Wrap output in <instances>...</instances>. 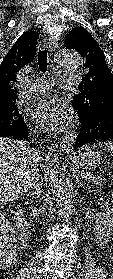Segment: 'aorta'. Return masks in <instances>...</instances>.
<instances>
[{
  "label": "aorta",
  "instance_id": "obj_1",
  "mask_svg": "<svg viewBox=\"0 0 113 279\" xmlns=\"http://www.w3.org/2000/svg\"><path fill=\"white\" fill-rule=\"evenodd\" d=\"M60 63L70 69H77L81 65V57L78 52L72 49L62 48L57 51ZM67 139L60 140V146L64 147ZM56 148L50 150L46 158V171L51 186V191L55 196L57 208L60 216L69 220L73 213V202L69 181L63 172L58 160Z\"/></svg>",
  "mask_w": 113,
  "mask_h": 279
}]
</instances>
